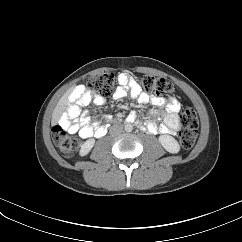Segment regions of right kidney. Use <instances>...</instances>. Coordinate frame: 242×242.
<instances>
[{"label":"right kidney","mask_w":242,"mask_h":242,"mask_svg":"<svg viewBox=\"0 0 242 242\" xmlns=\"http://www.w3.org/2000/svg\"><path fill=\"white\" fill-rule=\"evenodd\" d=\"M94 143H95L94 139L87 140L81 147L80 155L81 156L87 155L89 151L92 149Z\"/></svg>","instance_id":"1"}]
</instances>
